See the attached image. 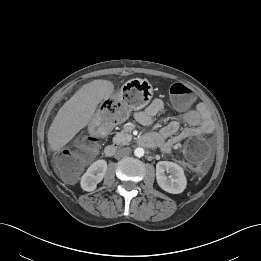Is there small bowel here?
Listing matches in <instances>:
<instances>
[{
	"label": "small bowel",
	"mask_w": 261,
	"mask_h": 261,
	"mask_svg": "<svg viewBox=\"0 0 261 261\" xmlns=\"http://www.w3.org/2000/svg\"><path fill=\"white\" fill-rule=\"evenodd\" d=\"M164 109V102L161 99H155L146 109L137 112L135 119L141 125L150 127L154 118L162 113ZM183 120L188 126L182 130H180V125L177 121H171L158 133L151 135L154 145L168 154L178 142L198 135L210 134L214 129L213 121L203 105L186 111L183 114Z\"/></svg>",
	"instance_id": "small-bowel-1"
}]
</instances>
